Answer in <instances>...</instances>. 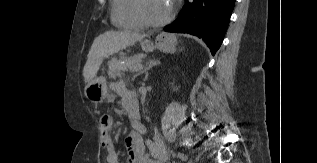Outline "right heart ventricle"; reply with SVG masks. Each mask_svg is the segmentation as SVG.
I'll return each mask as SVG.
<instances>
[{
  "label": "right heart ventricle",
  "mask_w": 317,
  "mask_h": 163,
  "mask_svg": "<svg viewBox=\"0 0 317 163\" xmlns=\"http://www.w3.org/2000/svg\"><path fill=\"white\" fill-rule=\"evenodd\" d=\"M111 18L113 24L121 29L138 30L145 25L139 20L135 0H112Z\"/></svg>",
  "instance_id": "1"
}]
</instances>
